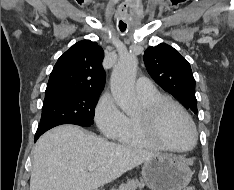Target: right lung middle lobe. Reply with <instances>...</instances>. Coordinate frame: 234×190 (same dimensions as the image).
I'll list each match as a JSON object with an SVG mask.
<instances>
[{
	"label": "right lung middle lobe",
	"instance_id": "dd1d6c3e",
	"mask_svg": "<svg viewBox=\"0 0 234 190\" xmlns=\"http://www.w3.org/2000/svg\"><path fill=\"white\" fill-rule=\"evenodd\" d=\"M99 94L59 88L46 89L41 121L36 133L43 134L62 124L91 126Z\"/></svg>",
	"mask_w": 234,
	"mask_h": 190
}]
</instances>
